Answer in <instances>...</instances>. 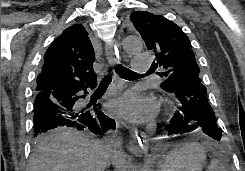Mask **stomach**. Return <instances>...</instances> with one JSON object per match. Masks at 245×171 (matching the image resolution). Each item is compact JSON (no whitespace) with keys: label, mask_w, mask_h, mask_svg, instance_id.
I'll use <instances>...</instances> for the list:
<instances>
[{"label":"stomach","mask_w":245,"mask_h":171,"mask_svg":"<svg viewBox=\"0 0 245 171\" xmlns=\"http://www.w3.org/2000/svg\"><path fill=\"white\" fill-rule=\"evenodd\" d=\"M206 148L199 143L179 145L156 162L158 171H201Z\"/></svg>","instance_id":"obj_1"}]
</instances>
